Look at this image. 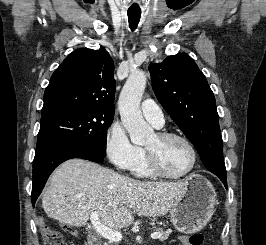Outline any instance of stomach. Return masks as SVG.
I'll return each instance as SVG.
<instances>
[{"label": "stomach", "mask_w": 266, "mask_h": 245, "mask_svg": "<svg viewBox=\"0 0 266 245\" xmlns=\"http://www.w3.org/2000/svg\"><path fill=\"white\" fill-rule=\"evenodd\" d=\"M185 189L174 201L169 217L179 233H198L209 223L216 205V191L203 175H189Z\"/></svg>", "instance_id": "0dacf381"}]
</instances>
